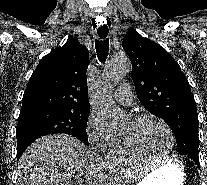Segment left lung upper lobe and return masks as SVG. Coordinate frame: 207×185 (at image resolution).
<instances>
[{
	"label": "left lung upper lobe",
	"mask_w": 207,
	"mask_h": 185,
	"mask_svg": "<svg viewBox=\"0 0 207 185\" xmlns=\"http://www.w3.org/2000/svg\"><path fill=\"white\" fill-rule=\"evenodd\" d=\"M122 45L132 63L131 75L141 104L170 126L181 154H198L196 103L179 64L163 47L133 28Z\"/></svg>",
	"instance_id": "obj_1"
}]
</instances>
